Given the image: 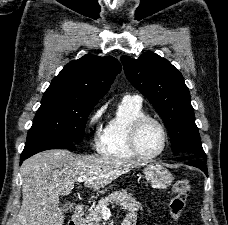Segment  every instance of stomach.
I'll use <instances>...</instances> for the list:
<instances>
[{
  "mask_svg": "<svg viewBox=\"0 0 228 225\" xmlns=\"http://www.w3.org/2000/svg\"><path fill=\"white\" fill-rule=\"evenodd\" d=\"M143 173L146 181L150 183L153 189H161V191H164V189H168L172 181H174V177H172L170 171L164 169L163 165L155 163V161H152L150 165H145Z\"/></svg>",
  "mask_w": 228,
  "mask_h": 225,
  "instance_id": "obj_1",
  "label": "stomach"
}]
</instances>
